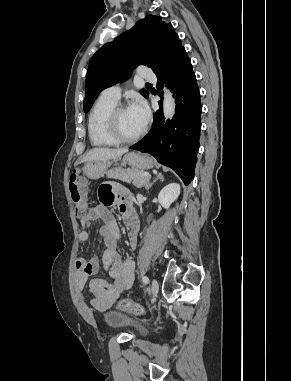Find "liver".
Segmentation results:
<instances>
[{
    "label": "liver",
    "mask_w": 291,
    "mask_h": 381,
    "mask_svg": "<svg viewBox=\"0 0 291 381\" xmlns=\"http://www.w3.org/2000/svg\"><path fill=\"white\" fill-rule=\"evenodd\" d=\"M128 149H110V148H94L90 150L82 159L81 162L91 161H109L118 159L123 154L127 153Z\"/></svg>",
    "instance_id": "obj_1"
}]
</instances>
